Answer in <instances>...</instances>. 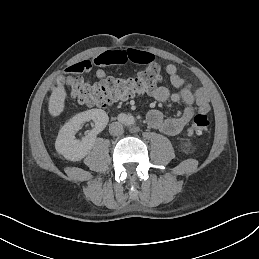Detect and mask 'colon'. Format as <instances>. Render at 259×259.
Masks as SVG:
<instances>
[{
  "instance_id": "colon-1",
  "label": "colon",
  "mask_w": 259,
  "mask_h": 259,
  "mask_svg": "<svg viewBox=\"0 0 259 259\" xmlns=\"http://www.w3.org/2000/svg\"><path fill=\"white\" fill-rule=\"evenodd\" d=\"M161 80L160 67L151 63L135 76L127 78L107 77L93 83L79 76H67L62 84L72 98L89 106L106 107L130 97L151 93ZM210 121L206 114H197L188 128L189 134L207 130Z\"/></svg>"
}]
</instances>
